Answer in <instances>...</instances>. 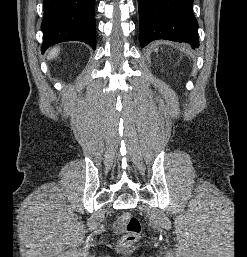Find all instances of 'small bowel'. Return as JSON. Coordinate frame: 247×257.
I'll return each instance as SVG.
<instances>
[{
    "mask_svg": "<svg viewBox=\"0 0 247 257\" xmlns=\"http://www.w3.org/2000/svg\"><path fill=\"white\" fill-rule=\"evenodd\" d=\"M115 229L116 231L120 232L122 230L121 225L119 223H116Z\"/></svg>",
    "mask_w": 247,
    "mask_h": 257,
    "instance_id": "obj_1",
    "label": "small bowel"
}]
</instances>
